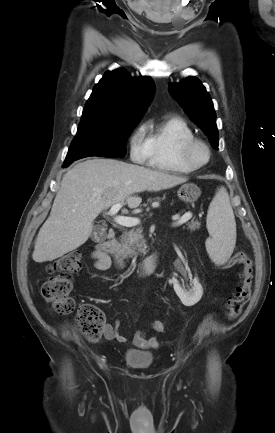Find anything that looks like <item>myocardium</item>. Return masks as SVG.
<instances>
[{
  "instance_id": "f54148a6",
  "label": "myocardium",
  "mask_w": 275,
  "mask_h": 433,
  "mask_svg": "<svg viewBox=\"0 0 275 433\" xmlns=\"http://www.w3.org/2000/svg\"><path fill=\"white\" fill-rule=\"evenodd\" d=\"M198 147L202 148L206 153V159L204 161H198L195 158V150ZM180 158L185 165L193 169H199L207 165L211 159L210 146L204 140L194 137L192 139L185 141L181 145Z\"/></svg>"
}]
</instances>
